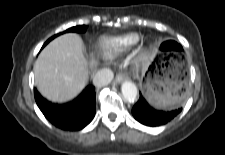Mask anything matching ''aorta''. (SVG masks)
<instances>
[{"instance_id":"aorta-1","label":"aorta","mask_w":225,"mask_h":155,"mask_svg":"<svg viewBox=\"0 0 225 155\" xmlns=\"http://www.w3.org/2000/svg\"><path fill=\"white\" fill-rule=\"evenodd\" d=\"M121 91L123 97L129 101L134 102L137 98L138 90L136 85L133 82L125 81L122 83Z\"/></svg>"}]
</instances>
